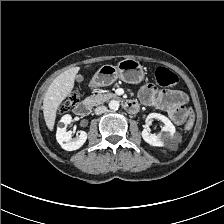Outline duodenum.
<instances>
[{
    "mask_svg": "<svg viewBox=\"0 0 224 224\" xmlns=\"http://www.w3.org/2000/svg\"><path fill=\"white\" fill-rule=\"evenodd\" d=\"M109 96L114 99L119 98L118 95L113 93L110 94ZM92 106H93V101L86 99L76 104V106L74 107V113L80 117L86 116L90 113ZM123 107L127 112L135 113L137 112L139 105H138V102L133 100H123Z\"/></svg>",
    "mask_w": 224,
    "mask_h": 224,
    "instance_id": "410a0bca",
    "label": "duodenum"
}]
</instances>
